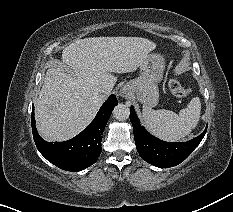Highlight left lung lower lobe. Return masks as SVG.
<instances>
[{
	"instance_id": "obj_1",
	"label": "left lung lower lobe",
	"mask_w": 233,
	"mask_h": 212,
	"mask_svg": "<svg viewBox=\"0 0 233 212\" xmlns=\"http://www.w3.org/2000/svg\"><path fill=\"white\" fill-rule=\"evenodd\" d=\"M130 120L139 155L149 164L162 168L173 167L184 161L199 145L207 131L206 128L198 137L185 143H170L149 134L141 126L134 107L130 110Z\"/></svg>"
}]
</instances>
